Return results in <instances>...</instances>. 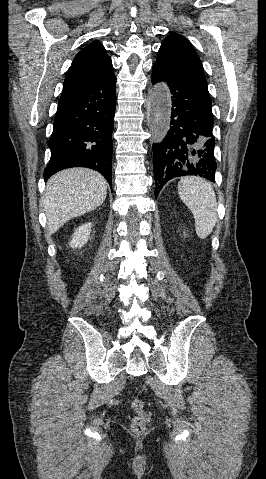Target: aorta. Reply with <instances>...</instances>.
<instances>
[{
	"mask_svg": "<svg viewBox=\"0 0 266 479\" xmlns=\"http://www.w3.org/2000/svg\"><path fill=\"white\" fill-rule=\"evenodd\" d=\"M154 119L156 123H160L162 119V114L158 110H155Z\"/></svg>",
	"mask_w": 266,
	"mask_h": 479,
	"instance_id": "obj_1",
	"label": "aorta"
}]
</instances>
